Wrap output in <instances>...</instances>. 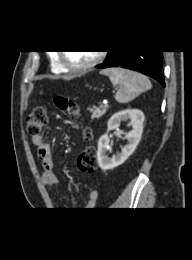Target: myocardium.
I'll return each instance as SVG.
<instances>
[{"mask_svg": "<svg viewBox=\"0 0 192 260\" xmlns=\"http://www.w3.org/2000/svg\"><path fill=\"white\" fill-rule=\"evenodd\" d=\"M102 60V54H97L96 57L91 60L90 62L84 64V65H80V66H75L70 64L67 60H66V56L64 52H60L59 53V61L61 63V65L68 71L71 72H84L87 71L91 68H93L94 66H96L100 61Z\"/></svg>", "mask_w": 192, "mask_h": 260, "instance_id": "myocardium-1", "label": "myocardium"}]
</instances>
